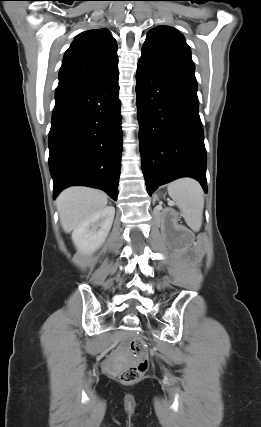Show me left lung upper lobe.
Listing matches in <instances>:
<instances>
[{"label": "left lung upper lobe", "instance_id": "1", "mask_svg": "<svg viewBox=\"0 0 261 427\" xmlns=\"http://www.w3.org/2000/svg\"><path fill=\"white\" fill-rule=\"evenodd\" d=\"M142 56L194 72L190 48L180 32L170 26H157L149 31Z\"/></svg>", "mask_w": 261, "mask_h": 427}]
</instances>
